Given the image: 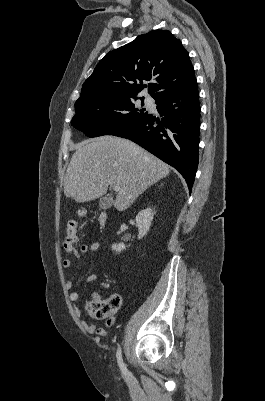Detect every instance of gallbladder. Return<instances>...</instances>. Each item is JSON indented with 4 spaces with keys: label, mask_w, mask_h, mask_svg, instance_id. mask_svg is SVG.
Listing matches in <instances>:
<instances>
[{
    "label": "gallbladder",
    "mask_w": 265,
    "mask_h": 401,
    "mask_svg": "<svg viewBox=\"0 0 265 401\" xmlns=\"http://www.w3.org/2000/svg\"><path fill=\"white\" fill-rule=\"evenodd\" d=\"M112 203H113V198H110V196H102V198H100L99 201L101 209H110Z\"/></svg>",
    "instance_id": "bac80fb5"
}]
</instances>
